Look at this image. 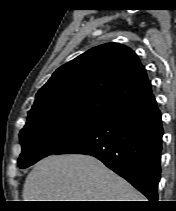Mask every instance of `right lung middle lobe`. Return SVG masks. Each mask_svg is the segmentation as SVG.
Segmentation results:
<instances>
[{
	"label": "right lung middle lobe",
	"mask_w": 176,
	"mask_h": 211,
	"mask_svg": "<svg viewBox=\"0 0 176 211\" xmlns=\"http://www.w3.org/2000/svg\"><path fill=\"white\" fill-rule=\"evenodd\" d=\"M103 118L58 109L29 115L19 134L22 146L19 167L27 168L55 153L96 126Z\"/></svg>",
	"instance_id": "dd1d6c3e"
}]
</instances>
